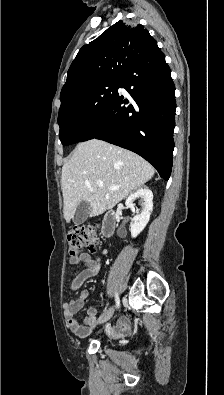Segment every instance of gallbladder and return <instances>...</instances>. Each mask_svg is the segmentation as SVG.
Wrapping results in <instances>:
<instances>
[{"label": "gallbladder", "mask_w": 224, "mask_h": 395, "mask_svg": "<svg viewBox=\"0 0 224 395\" xmlns=\"http://www.w3.org/2000/svg\"><path fill=\"white\" fill-rule=\"evenodd\" d=\"M90 214V204L86 201H81L76 208L73 222L75 225L83 224Z\"/></svg>", "instance_id": "gallbladder-1"}]
</instances>
